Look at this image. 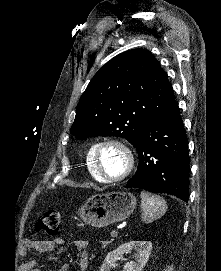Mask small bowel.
Masks as SVG:
<instances>
[{"label": "small bowel", "mask_w": 221, "mask_h": 271, "mask_svg": "<svg viewBox=\"0 0 221 271\" xmlns=\"http://www.w3.org/2000/svg\"><path fill=\"white\" fill-rule=\"evenodd\" d=\"M64 243L62 238L54 239H26L23 243V251L34 250L38 253H48L52 252L57 246ZM75 247L80 253L79 267L80 271H87L89 265L88 258V241L85 239H77L75 241ZM29 267H33L34 263L30 262ZM32 271H39L37 268H33ZM59 271H72V266L70 264H64L61 266Z\"/></svg>", "instance_id": "1"}]
</instances>
